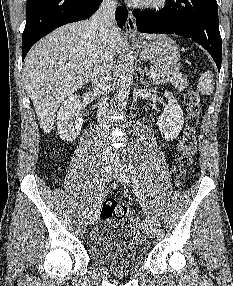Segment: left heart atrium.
<instances>
[{"instance_id":"39dd6f15","label":"left heart atrium","mask_w":233,"mask_h":286,"mask_svg":"<svg viewBox=\"0 0 233 286\" xmlns=\"http://www.w3.org/2000/svg\"><path fill=\"white\" fill-rule=\"evenodd\" d=\"M132 3H137V2H140V1H143V0H130Z\"/></svg>"}]
</instances>
